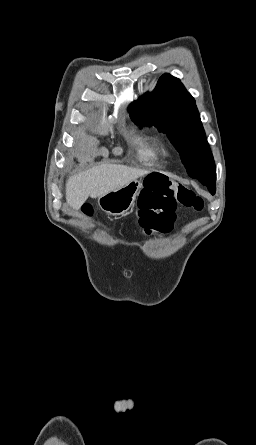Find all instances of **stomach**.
Masks as SVG:
<instances>
[{
  "mask_svg": "<svg viewBox=\"0 0 256 445\" xmlns=\"http://www.w3.org/2000/svg\"><path fill=\"white\" fill-rule=\"evenodd\" d=\"M142 188L143 180H134L121 188L100 196L98 205L109 215H123L132 207Z\"/></svg>",
  "mask_w": 256,
  "mask_h": 445,
  "instance_id": "stomach-1",
  "label": "stomach"
}]
</instances>
